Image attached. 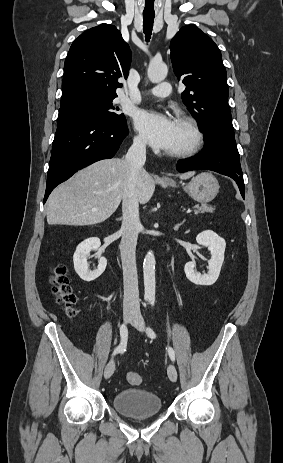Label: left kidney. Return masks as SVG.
<instances>
[{"label":"left kidney","instance_id":"5707ae66","mask_svg":"<svg viewBox=\"0 0 283 463\" xmlns=\"http://www.w3.org/2000/svg\"><path fill=\"white\" fill-rule=\"evenodd\" d=\"M199 245L205 246L211 253V259L208 262V273L201 274L195 270V262L190 261L185 264L184 271L186 277L196 285H212L219 277L221 267L224 261V252L226 242L211 230L199 233L196 237Z\"/></svg>","mask_w":283,"mask_h":463}]
</instances>
